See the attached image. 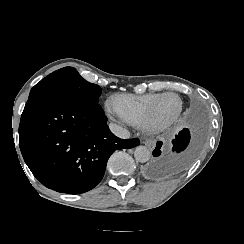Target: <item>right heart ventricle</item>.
<instances>
[{"label":"right heart ventricle","instance_id":"right-heart-ventricle-1","mask_svg":"<svg viewBox=\"0 0 244 244\" xmlns=\"http://www.w3.org/2000/svg\"><path fill=\"white\" fill-rule=\"evenodd\" d=\"M156 98L155 95L136 96L132 94L118 95L112 100L114 111L124 121L144 125L152 116L149 105Z\"/></svg>","mask_w":244,"mask_h":244}]
</instances>
